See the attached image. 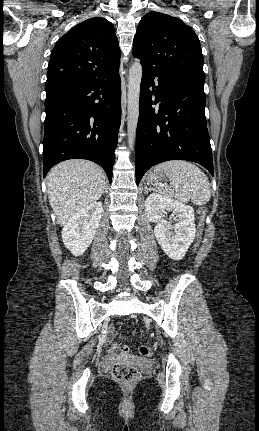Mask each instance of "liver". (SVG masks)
<instances>
[{
  "label": "liver",
  "instance_id": "6515ba94",
  "mask_svg": "<svg viewBox=\"0 0 259 431\" xmlns=\"http://www.w3.org/2000/svg\"><path fill=\"white\" fill-rule=\"evenodd\" d=\"M46 179L49 202L61 226L78 211L96 202L106 185L103 169L82 159L59 163Z\"/></svg>",
  "mask_w": 259,
  "mask_h": 431
}]
</instances>
